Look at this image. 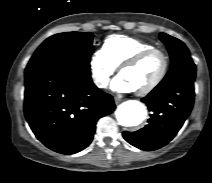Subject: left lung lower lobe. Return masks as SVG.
<instances>
[{"label":"left lung lower lobe","mask_w":212,"mask_h":183,"mask_svg":"<svg viewBox=\"0 0 212 183\" xmlns=\"http://www.w3.org/2000/svg\"><path fill=\"white\" fill-rule=\"evenodd\" d=\"M195 77L196 66L191 57L171 66L159 85L142 99L151 111L148 125L135 132H123L125 140L145 151L170 142L192 110Z\"/></svg>","instance_id":"1"}]
</instances>
